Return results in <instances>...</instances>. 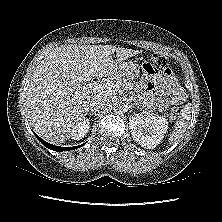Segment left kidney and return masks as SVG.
Here are the masks:
<instances>
[{
  "label": "left kidney",
  "instance_id": "obj_1",
  "mask_svg": "<svg viewBox=\"0 0 222 222\" xmlns=\"http://www.w3.org/2000/svg\"><path fill=\"white\" fill-rule=\"evenodd\" d=\"M129 128L132 138L147 149H154L164 138L168 121L163 116L142 112L130 116Z\"/></svg>",
  "mask_w": 222,
  "mask_h": 222
}]
</instances>
